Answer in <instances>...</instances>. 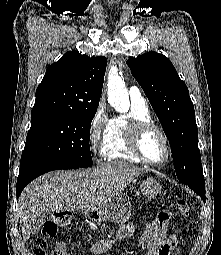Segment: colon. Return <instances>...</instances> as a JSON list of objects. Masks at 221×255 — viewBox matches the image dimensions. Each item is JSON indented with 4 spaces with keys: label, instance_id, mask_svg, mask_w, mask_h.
<instances>
[{
    "label": "colon",
    "instance_id": "5ec220e1",
    "mask_svg": "<svg viewBox=\"0 0 221 255\" xmlns=\"http://www.w3.org/2000/svg\"><path fill=\"white\" fill-rule=\"evenodd\" d=\"M177 210L182 216H188L191 213V207L187 199L182 198L177 203ZM171 216L168 211H161L154 224L151 225L147 231L150 234L161 233L167 229ZM73 226V219L69 213L57 212L54 213L43 225L42 235L35 241L33 248L35 255H46L45 246L46 238L56 235L58 228H71ZM141 249V248H140ZM53 255H68L66 247L63 242H58L54 248Z\"/></svg>",
    "mask_w": 221,
    "mask_h": 255
}]
</instances>
